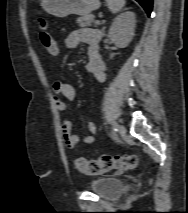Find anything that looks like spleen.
Returning a JSON list of instances; mask_svg holds the SVG:
<instances>
[{
  "instance_id": "3e777b00",
  "label": "spleen",
  "mask_w": 188,
  "mask_h": 213,
  "mask_svg": "<svg viewBox=\"0 0 188 213\" xmlns=\"http://www.w3.org/2000/svg\"><path fill=\"white\" fill-rule=\"evenodd\" d=\"M106 3L112 13H117L124 7L125 0H106Z\"/></svg>"
}]
</instances>
